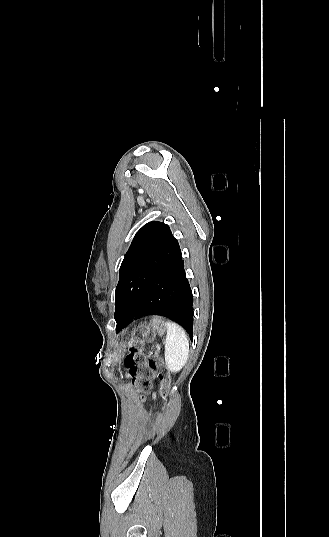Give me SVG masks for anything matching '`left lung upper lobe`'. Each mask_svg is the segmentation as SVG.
Returning <instances> with one entry per match:
<instances>
[{"mask_svg":"<svg viewBox=\"0 0 329 537\" xmlns=\"http://www.w3.org/2000/svg\"><path fill=\"white\" fill-rule=\"evenodd\" d=\"M180 251L163 222H149L135 235L120 266L115 291L116 330L158 272Z\"/></svg>","mask_w":329,"mask_h":537,"instance_id":"left-lung-upper-lobe-1","label":"left lung upper lobe"}]
</instances>
